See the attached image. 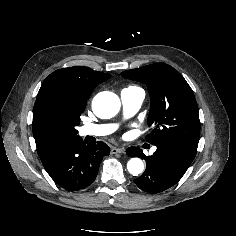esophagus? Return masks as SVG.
<instances>
[{"mask_svg": "<svg viewBox=\"0 0 236 236\" xmlns=\"http://www.w3.org/2000/svg\"><path fill=\"white\" fill-rule=\"evenodd\" d=\"M117 153H125V149L124 148L112 147L111 148V154H117Z\"/></svg>", "mask_w": 236, "mask_h": 236, "instance_id": "esophagus-1", "label": "esophagus"}]
</instances>
